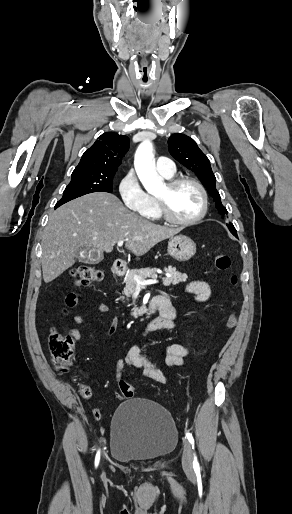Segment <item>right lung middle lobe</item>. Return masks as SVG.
I'll return each mask as SVG.
<instances>
[{"instance_id": "1", "label": "right lung middle lobe", "mask_w": 292, "mask_h": 514, "mask_svg": "<svg viewBox=\"0 0 292 514\" xmlns=\"http://www.w3.org/2000/svg\"><path fill=\"white\" fill-rule=\"evenodd\" d=\"M113 191V176L72 174L71 181L63 192V197L55 208L62 204L92 192Z\"/></svg>"}]
</instances>
